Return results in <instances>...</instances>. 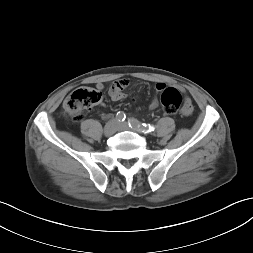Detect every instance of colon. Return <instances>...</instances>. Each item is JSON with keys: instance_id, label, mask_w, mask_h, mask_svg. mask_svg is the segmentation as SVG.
<instances>
[{"instance_id": "colon-1", "label": "colon", "mask_w": 253, "mask_h": 253, "mask_svg": "<svg viewBox=\"0 0 253 253\" xmlns=\"http://www.w3.org/2000/svg\"><path fill=\"white\" fill-rule=\"evenodd\" d=\"M102 99V93L91 87H81L73 91L63 103V113L73 121H80L83 112L98 104ZM181 93L173 87H165L161 91L160 102L163 112L172 115L180 110L182 105Z\"/></svg>"}]
</instances>
